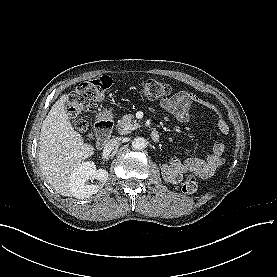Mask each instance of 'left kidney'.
Masks as SVG:
<instances>
[{
  "label": "left kidney",
  "instance_id": "5707ae66",
  "mask_svg": "<svg viewBox=\"0 0 277 277\" xmlns=\"http://www.w3.org/2000/svg\"><path fill=\"white\" fill-rule=\"evenodd\" d=\"M162 175L163 178H165L166 180L170 181V182H174L176 181V178L178 176L182 175V171L177 169V168H172L169 167L168 165L164 164L162 166Z\"/></svg>",
  "mask_w": 277,
  "mask_h": 277
}]
</instances>
